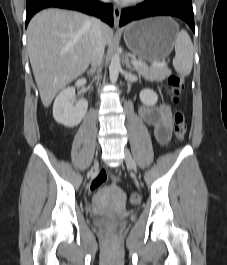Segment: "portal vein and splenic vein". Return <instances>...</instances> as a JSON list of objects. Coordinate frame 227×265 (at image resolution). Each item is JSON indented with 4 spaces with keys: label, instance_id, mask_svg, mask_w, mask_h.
I'll return each instance as SVG.
<instances>
[{
    "label": "portal vein and splenic vein",
    "instance_id": "18ae733b",
    "mask_svg": "<svg viewBox=\"0 0 227 265\" xmlns=\"http://www.w3.org/2000/svg\"><path fill=\"white\" fill-rule=\"evenodd\" d=\"M133 65L135 66H142L144 63L141 62V61H136V60H133L132 61ZM153 67H164L165 66V62H152L151 64Z\"/></svg>",
    "mask_w": 227,
    "mask_h": 265
}]
</instances>
